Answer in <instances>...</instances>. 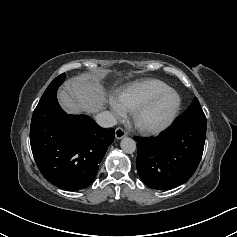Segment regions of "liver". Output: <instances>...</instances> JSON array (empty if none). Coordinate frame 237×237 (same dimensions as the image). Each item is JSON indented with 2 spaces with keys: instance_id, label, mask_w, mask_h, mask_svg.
I'll list each match as a JSON object with an SVG mask.
<instances>
[{
  "instance_id": "liver-1",
  "label": "liver",
  "mask_w": 237,
  "mask_h": 237,
  "mask_svg": "<svg viewBox=\"0 0 237 237\" xmlns=\"http://www.w3.org/2000/svg\"><path fill=\"white\" fill-rule=\"evenodd\" d=\"M106 96L100 81L88 75L72 78L65 89L58 91L60 105L71 114L98 113L104 109Z\"/></svg>"
}]
</instances>
